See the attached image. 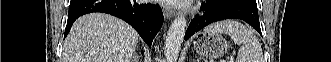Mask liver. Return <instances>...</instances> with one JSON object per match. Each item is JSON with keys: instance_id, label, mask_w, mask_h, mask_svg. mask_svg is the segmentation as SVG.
Returning a JSON list of instances; mask_svg holds the SVG:
<instances>
[{"instance_id": "6515ba94", "label": "liver", "mask_w": 331, "mask_h": 62, "mask_svg": "<svg viewBox=\"0 0 331 62\" xmlns=\"http://www.w3.org/2000/svg\"><path fill=\"white\" fill-rule=\"evenodd\" d=\"M138 33L126 22L108 14L78 18L63 44L62 62H130Z\"/></svg>"}]
</instances>
